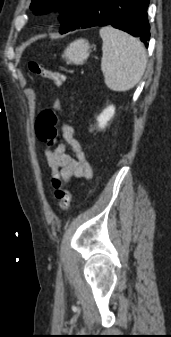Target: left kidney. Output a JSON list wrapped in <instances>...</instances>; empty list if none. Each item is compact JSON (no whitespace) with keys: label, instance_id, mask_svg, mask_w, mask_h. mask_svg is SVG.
I'll return each mask as SVG.
<instances>
[{"label":"left kidney","instance_id":"obj_1","mask_svg":"<svg viewBox=\"0 0 171 337\" xmlns=\"http://www.w3.org/2000/svg\"><path fill=\"white\" fill-rule=\"evenodd\" d=\"M115 114V107L113 105L108 106L103 110V112L97 117L99 128H105L108 122Z\"/></svg>","mask_w":171,"mask_h":337}]
</instances>
